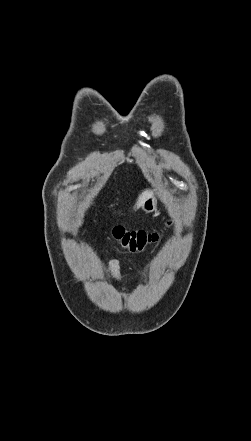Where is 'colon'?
Returning a JSON list of instances; mask_svg holds the SVG:
<instances>
[{"instance_id": "5ec220e1", "label": "colon", "mask_w": 251, "mask_h": 441, "mask_svg": "<svg viewBox=\"0 0 251 441\" xmlns=\"http://www.w3.org/2000/svg\"><path fill=\"white\" fill-rule=\"evenodd\" d=\"M112 236L122 248L131 252H140L148 245L157 242L161 233L144 230L129 231L117 226L112 230Z\"/></svg>"}]
</instances>
